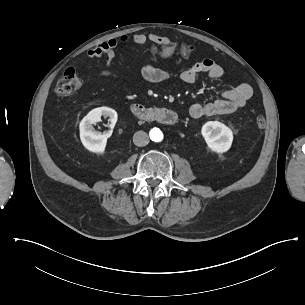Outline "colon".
<instances>
[{
  "mask_svg": "<svg viewBox=\"0 0 305 305\" xmlns=\"http://www.w3.org/2000/svg\"><path fill=\"white\" fill-rule=\"evenodd\" d=\"M121 40V44L126 43L129 44L132 39L130 34H126L125 36L119 37ZM178 50L184 55H192L195 52V46L193 44H183V45H175L171 43H167L166 51H175ZM81 86V80L75 70L68 69L64 72L61 79L57 82L55 91L58 97L65 98L72 93L76 92ZM256 125L258 127H264L266 124L265 118L262 115H258L256 117Z\"/></svg>",
  "mask_w": 305,
  "mask_h": 305,
  "instance_id": "1",
  "label": "colon"
}]
</instances>
